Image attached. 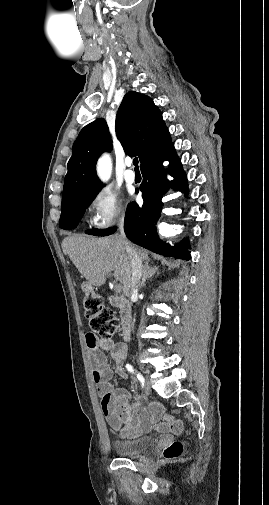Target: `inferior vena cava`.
Masks as SVG:
<instances>
[{
    "mask_svg": "<svg viewBox=\"0 0 269 505\" xmlns=\"http://www.w3.org/2000/svg\"><path fill=\"white\" fill-rule=\"evenodd\" d=\"M118 229L120 231V237L125 241V248L129 255L130 266H131V281L130 289L131 294H137L140 285V279L143 273V266L141 259L139 258L136 250L128 243L124 233V218L122 217L119 221Z\"/></svg>",
    "mask_w": 269,
    "mask_h": 505,
    "instance_id": "1",
    "label": "inferior vena cava"
}]
</instances>
